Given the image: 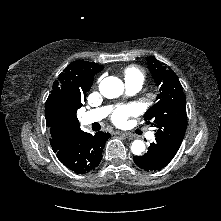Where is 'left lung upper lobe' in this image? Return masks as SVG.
<instances>
[{
	"instance_id": "obj_1",
	"label": "left lung upper lobe",
	"mask_w": 221,
	"mask_h": 221,
	"mask_svg": "<svg viewBox=\"0 0 221 221\" xmlns=\"http://www.w3.org/2000/svg\"><path fill=\"white\" fill-rule=\"evenodd\" d=\"M148 68L157 86L158 102L145 113L146 123L153 125L155 137L182 143L187 127L186 99L177 75L155 57H147Z\"/></svg>"
}]
</instances>
